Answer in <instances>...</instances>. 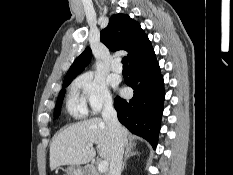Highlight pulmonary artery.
Returning a JSON list of instances; mask_svg holds the SVG:
<instances>
[{
  "label": "pulmonary artery",
  "mask_w": 233,
  "mask_h": 175,
  "mask_svg": "<svg viewBox=\"0 0 233 175\" xmlns=\"http://www.w3.org/2000/svg\"><path fill=\"white\" fill-rule=\"evenodd\" d=\"M111 69H112V71L115 72V73H121V72H122V66H121V64H120L119 59H115V60L112 62Z\"/></svg>",
  "instance_id": "obj_1"
}]
</instances>
